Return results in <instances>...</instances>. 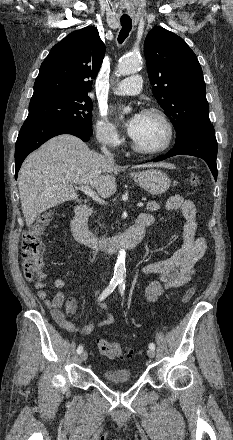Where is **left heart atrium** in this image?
Wrapping results in <instances>:
<instances>
[{"label": "left heart atrium", "instance_id": "1", "mask_svg": "<svg viewBox=\"0 0 233 440\" xmlns=\"http://www.w3.org/2000/svg\"><path fill=\"white\" fill-rule=\"evenodd\" d=\"M142 114L141 113H135L132 116L128 117L124 120V127L127 131V133L133 137L141 123Z\"/></svg>", "mask_w": 233, "mask_h": 440}]
</instances>
